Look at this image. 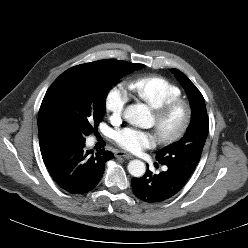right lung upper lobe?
Segmentation results:
<instances>
[{
    "instance_id": "right-lung-upper-lobe-1",
    "label": "right lung upper lobe",
    "mask_w": 248,
    "mask_h": 248,
    "mask_svg": "<svg viewBox=\"0 0 248 248\" xmlns=\"http://www.w3.org/2000/svg\"><path fill=\"white\" fill-rule=\"evenodd\" d=\"M62 142H64L62 139L54 135L39 131V143H40L41 153H45L48 149Z\"/></svg>"
}]
</instances>
